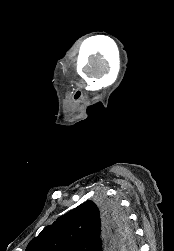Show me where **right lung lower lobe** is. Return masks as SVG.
Returning <instances> with one entry per match:
<instances>
[{
    "label": "right lung lower lobe",
    "mask_w": 174,
    "mask_h": 251,
    "mask_svg": "<svg viewBox=\"0 0 174 251\" xmlns=\"http://www.w3.org/2000/svg\"><path fill=\"white\" fill-rule=\"evenodd\" d=\"M114 232H115V227L111 223H109L105 218L103 220V234L101 237L102 247H107V246L111 247ZM109 250L115 251L114 249H109ZM103 251H106V249Z\"/></svg>",
    "instance_id": "obj_1"
}]
</instances>
